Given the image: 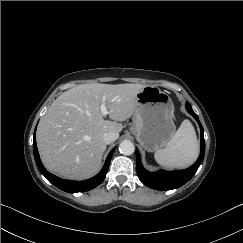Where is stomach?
Wrapping results in <instances>:
<instances>
[{
    "instance_id": "1",
    "label": "stomach",
    "mask_w": 243,
    "mask_h": 243,
    "mask_svg": "<svg viewBox=\"0 0 243 243\" xmlns=\"http://www.w3.org/2000/svg\"><path fill=\"white\" fill-rule=\"evenodd\" d=\"M136 98L130 132L145 150L157 151L166 146L175 133L174 104L170 96L156 86H144Z\"/></svg>"
}]
</instances>
